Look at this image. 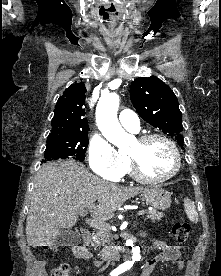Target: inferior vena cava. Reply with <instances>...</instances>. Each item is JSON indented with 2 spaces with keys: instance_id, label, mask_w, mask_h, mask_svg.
<instances>
[{
  "instance_id": "obj_1",
  "label": "inferior vena cava",
  "mask_w": 221,
  "mask_h": 276,
  "mask_svg": "<svg viewBox=\"0 0 221 276\" xmlns=\"http://www.w3.org/2000/svg\"><path fill=\"white\" fill-rule=\"evenodd\" d=\"M112 258H113V260H116V261L120 259L119 254L116 252L113 253Z\"/></svg>"
}]
</instances>
